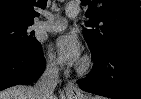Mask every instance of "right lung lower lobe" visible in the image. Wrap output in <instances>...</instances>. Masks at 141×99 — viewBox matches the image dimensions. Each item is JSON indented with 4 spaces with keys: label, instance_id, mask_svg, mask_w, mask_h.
<instances>
[{
    "label": "right lung lower lobe",
    "instance_id": "98d812e1",
    "mask_svg": "<svg viewBox=\"0 0 141 99\" xmlns=\"http://www.w3.org/2000/svg\"><path fill=\"white\" fill-rule=\"evenodd\" d=\"M45 59L41 46L32 49H0V91L32 83L43 73Z\"/></svg>",
    "mask_w": 141,
    "mask_h": 99
}]
</instances>
